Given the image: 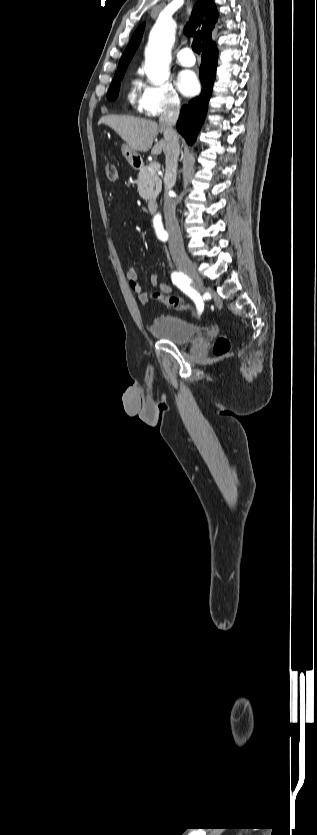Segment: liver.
I'll list each match as a JSON object with an SVG mask.
<instances>
[{
	"mask_svg": "<svg viewBox=\"0 0 317 835\" xmlns=\"http://www.w3.org/2000/svg\"><path fill=\"white\" fill-rule=\"evenodd\" d=\"M105 124L112 128L134 151L147 152L152 148L153 141L163 130L160 124L152 120L134 118L130 116L105 115L98 125ZM166 142H157L151 154L154 156L165 152Z\"/></svg>",
	"mask_w": 317,
	"mask_h": 835,
	"instance_id": "liver-1",
	"label": "liver"
}]
</instances>
